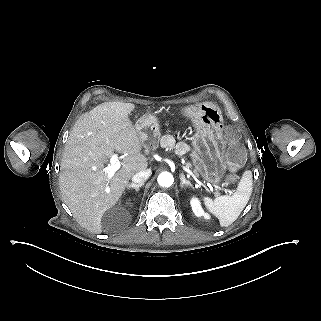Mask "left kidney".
Segmentation results:
<instances>
[{
    "mask_svg": "<svg viewBox=\"0 0 321 321\" xmlns=\"http://www.w3.org/2000/svg\"><path fill=\"white\" fill-rule=\"evenodd\" d=\"M191 205L193 208L194 213L197 216H202L203 215V210L201 209V207L199 206V202L196 199H192L191 201Z\"/></svg>",
    "mask_w": 321,
    "mask_h": 321,
    "instance_id": "left-kidney-1",
    "label": "left kidney"
}]
</instances>
